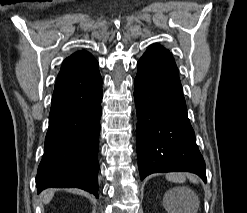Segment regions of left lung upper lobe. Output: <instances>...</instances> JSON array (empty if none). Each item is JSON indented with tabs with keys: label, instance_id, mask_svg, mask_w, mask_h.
Wrapping results in <instances>:
<instances>
[{
	"label": "left lung upper lobe",
	"instance_id": "1",
	"mask_svg": "<svg viewBox=\"0 0 247 213\" xmlns=\"http://www.w3.org/2000/svg\"><path fill=\"white\" fill-rule=\"evenodd\" d=\"M163 51H168V50L165 49L164 47H162L161 45L155 43V44H152V45L149 46V48L144 53V55L157 54V53H161Z\"/></svg>",
	"mask_w": 247,
	"mask_h": 213
}]
</instances>
